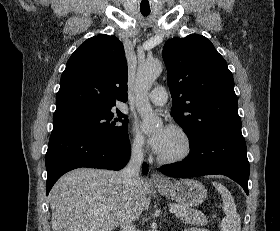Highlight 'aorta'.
Masks as SVG:
<instances>
[{
	"label": "aorta",
	"instance_id": "aorta-1",
	"mask_svg": "<svg viewBox=\"0 0 280 231\" xmlns=\"http://www.w3.org/2000/svg\"><path fill=\"white\" fill-rule=\"evenodd\" d=\"M163 72L162 62L153 60V62H145L143 66L138 68V82L136 88V108L139 116H141V129L143 133H152L160 123L161 117L156 116L152 110V106L147 98L148 92L155 80L159 78Z\"/></svg>",
	"mask_w": 280,
	"mask_h": 231
}]
</instances>
